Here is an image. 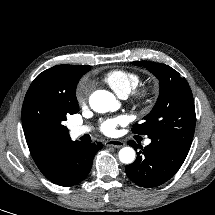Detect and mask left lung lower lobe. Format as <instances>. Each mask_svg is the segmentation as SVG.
Returning a JSON list of instances; mask_svg holds the SVG:
<instances>
[{"label":"left lung lower lobe","mask_w":215,"mask_h":215,"mask_svg":"<svg viewBox=\"0 0 215 215\" xmlns=\"http://www.w3.org/2000/svg\"><path fill=\"white\" fill-rule=\"evenodd\" d=\"M151 143L137 153L136 160L125 167L127 176L139 186L150 188L169 180L183 164L188 151L163 139ZM136 150L137 144L129 141Z\"/></svg>","instance_id":"left-lung-lower-lobe-1"}]
</instances>
